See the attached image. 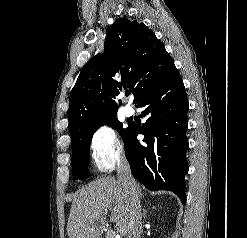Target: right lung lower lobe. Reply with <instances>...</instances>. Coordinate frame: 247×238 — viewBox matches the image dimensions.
<instances>
[{"label": "right lung lower lobe", "mask_w": 247, "mask_h": 238, "mask_svg": "<svg viewBox=\"0 0 247 238\" xmlns=\"http://www.w3.org/2000/svg\"><path fill=\"white\" fill-rule=\"evenodd\" d=\"M135 107L144 108L142 115L148 119L141 127L129 124L124 137L132 175L149 190L173 191L185 203L188 99L176 67ZM138 134L144 135L143 143Z\"/></svg>", "instance_id": "98d812e1"}]
</instances>
